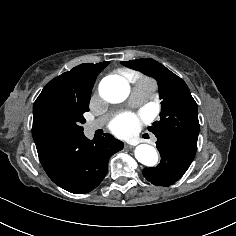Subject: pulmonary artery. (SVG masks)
Instances as JSON below:
<instances>
[{"label": "pulmonary artery", "mask_w": 236, "mask_h": 236, "mask_svg": "<svg viewBox=\"0 0 236 236\" xmlns=\"http://www.w3.org/2000/svg\"><path fill=\"white\" fill-rule=\"evenodd\" d=\"M154 88L147 85H134L132 88L129 104L145 103L154 93ZM107 120V116L90 121L85 125V131L88 135H93L97 130L101 129Z\"/></svg>", "instance_id": "obj_1"}]
</instances>
